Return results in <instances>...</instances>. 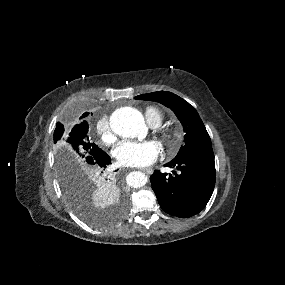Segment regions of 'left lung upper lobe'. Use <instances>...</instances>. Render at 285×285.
Wrapping results in <instances>:
<instances>
[{
    "label": "left lung upper lobe",
    "mask_w": 285,
    "mask_h": 285,
    "mask_svg": "<svg viewBox=\"0 0 285 285\" xmlns=\"http://www.w3.org/2000/svg\"><path fill=\"white\" fill-rule=\"evenodd\" d=\"M136 99L152 100L170 108L180 120L185 134V145L181 146L173 160L199 154H213L210 137L196 109L179 96L165 91L143 94Z\"/></svg>",
    "instance_id": "left-lung-upper-lobe-1"
}]
</instances>
